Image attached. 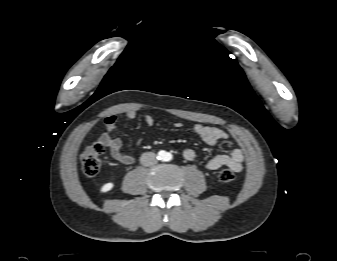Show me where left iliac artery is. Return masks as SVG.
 <instances>
[{"mask_svg": "<svg viewBox=\"0 0 337 261\" xmlns=\"http://www.w3.org/2000/svg\"><path fill=\"white\" fill-rule=\"evenodd\" d=\"M172 159V155L170 153L166 154L165 160L170 161Z\"/></svg>", "mask_w": 337, "mask_h": 261, "instance_id": "44dca946", "label": "left iliac artery"}]
</instances>
